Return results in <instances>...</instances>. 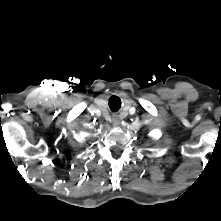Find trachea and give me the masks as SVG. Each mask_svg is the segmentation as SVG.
I'll list each match as a JSON object with an SVG mask.
<instances>
[{
	"label": "trachea",
	"mask_w": 221,
	"mask_h": 221,
	"mask_svg": "<svg viewBox=\"0 0 221 221\" xmlns=\"http://www.w3.org/2000/svg\"><path fill=\"white\" fill-rule=\"evenodd\" d=\"M121 106V100L116 97V96H113L110 98L109 100V107L111 108V110H117L119 109Z\"/></svg>",
	"instance_id": "trachea-1"
}]
</instances>
